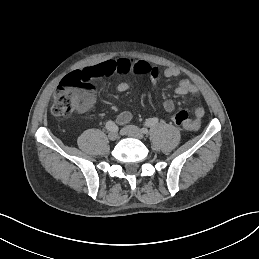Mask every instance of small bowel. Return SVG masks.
I'll use <instances>...</instances> for the list:
<instances>
[{"instance_id":"obj_1","label":"small bowel","mask_w":259,"mask_h":259,"mask_svg":"<svg viewBox=\"0 0 259 259\" xmlns=\"http://www.w3.org/2000/svg\"><path fill=\"white\" fill-rule=\"evenodd\" d=\"M131 71L147 75L153 85L156 84L160 75L158 67L151 65L149 62L141 59L134 60L129 58L106 60L101 63L85 67L83 70L79 71V73L84 80L89 81L97 77L109 75L111 73H127ZM179 73V70L174 67H168L163 71V75L166 78L177 77ZM130 87V83L120 82L117 85V90L119 92H126L130 89ZM175 91L178 95L185 96L197 94L198 89L189 80L183 79L178 83ZM162 106L167 113H171L175 109V105L172 100H165L162 103ZM204 115V108L197 107L194 110V117L192 119H189L184 128L190 131L198 130ZM131 118L132 114L129 111H124L117 116V122L121 125H124L127 124L131 120Z\"/></svg>"}]
</instances>
